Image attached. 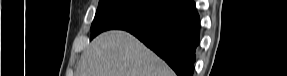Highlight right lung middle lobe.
<instances>
[{
	"instance_id": "obj_1",
	"label": "right lung middle lobe",
	"mask_w": 287,
	"mask_h": 76,
	"mask_svg": "<svg viewBox=\"0 0 287 76\" xmlns=\"http://www.w3.org/2000/svg\"><path fill=\"white\" fill-rule=\"evenodd\" d=\"M174 3L173 0H100L91 26V39L111 29H139Z\"/></svg>"
}]
</instances>
